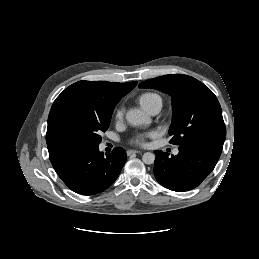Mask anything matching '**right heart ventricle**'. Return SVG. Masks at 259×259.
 I'll use <instances>...</instances> for the list:
<instances>
[{
    "instance_id": "1",
    "label": "right heart ventricle",
    "mask_w": 259,
    "mask_h": 259,
    "mask_svg": "<svg viewBox=\"0 0 259 259\" xmlns=\"http://www.w3.org/2000/svg\"><path fill=\"white\" fill-rule=\"evenodd\" d=\"M138 103L147 112L154 107L161 108L162 97L156 92H144L138 97Z\"/></svg>"
}]
</instances>
